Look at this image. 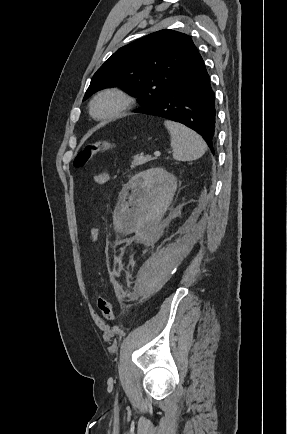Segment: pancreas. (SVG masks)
<instances>
[{
	"label": "pancreas",
	"mask_w": 287,
	"mask_h": 434,
	"mask_svg": "<svg viewBox=\"0 0 287 434\" xmlns=\"http://www.w3.org/2000/svg\"><path fill=\"white\" fill-rule=\"evenodd\" d=\"M154 158H152L151 156H149V155H147V156H144V155H135L134 157H133V161H132V165H131V167L132 168H135V167H137V166H140V165H143V164H145V163H147V162H149V161H151V160H153Z\"/></svg>",
	"instance_id": "pancreas-1"
}]
</instances>
